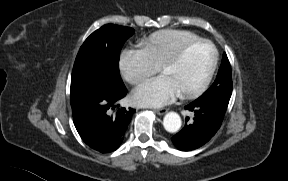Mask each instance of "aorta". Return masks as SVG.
Masks as SVG:
<instances>
[{"label": "aorta", "instance_id": "1", "mask_svg": "<svg viewBox=\"0 0 288 181\" xmlns=\"http://www.w3.org/2000/svg\"><path fill=\"white\" fill-rule=\"evenodd\" d=\"M182 121L176 112H168L163 119V126L167 132L175 133L181 127Z\"/></svg>", "mask_w": 288, "mask_h": 181}]
</instances>
